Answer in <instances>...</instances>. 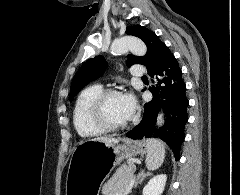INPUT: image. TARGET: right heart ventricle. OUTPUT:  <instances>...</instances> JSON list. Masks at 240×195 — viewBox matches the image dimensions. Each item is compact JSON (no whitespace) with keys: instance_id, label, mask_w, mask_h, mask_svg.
<instances>
[{"instance_id":"right-heart-ventricle-1","label":"right heart ventricle","mask_w":240,"mask_h":195,"mask_svg":"<svg viewBox=\"0 0 240 195\" xmlns=\"http://www.w3.org/2000/svg\"><path fill=\"white\" fill-rule=\"evenodd\" d=\"M101 92H103L102 86L92 85L84 89L76 100L73 113L74 125L84 138H93L105 133L91 118L92 103Z\"/></svg>"}]
</instances>
